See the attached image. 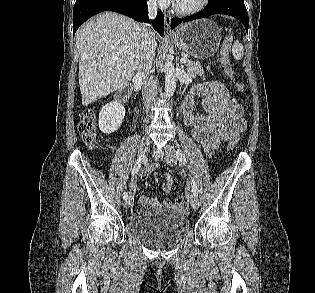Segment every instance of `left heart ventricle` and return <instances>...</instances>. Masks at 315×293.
Returning a JSON list of instances; mask_svg holds the SVG:
<instances>
[{
  "label": "left heart ventricle",
  "mask_w": 315,
  "mask_h": 293,
  "mask_svg": "<svg viewBox=\"0 0 315 293\" xmlns=\"http://www.w3.org/2000/svg\"><path fill=\"white\" fill-rule=\"evenodd\" d=\"M179 6L183 8H191L199 4L200 0H174Z\"/></svg>",
  "instance_id": "b2bd125f"
}]
</instances>
